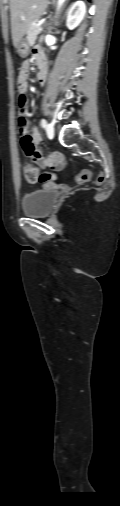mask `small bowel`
<instances>
[{
    "label": "small bowel",
    "instance_id": "small-bowel-1",
    "mask_svg": "<svg viewBox=\"0 0 120 506\" xmlns=\"http://www.w3.org/2000/svg\"><path fill=\"white\" fill-rule=\"evenodd\" d=\"M39 54L42 57H44L43 50L40 47H35L34 50H33V59L35 61H36V57ZM44 67H45L44 77L43 78H39V75H38V78H39V81H40L41 84H44L45 83V79H46L45 61H44ZM29 74H30V61H25L21 65L20 72H19V75H18V81H21L23 83L24 89H26V87H27L26 80H27ZM26 132H27V134H29L32 137L33 142H34L35 146L37 147L39 145V143H40V134H39V131L37 130V128H32L31 132H29L28 128L26 127ZM39 152H40V156L36 158V161L38 162V164L41 167H43V168L49 167V168H56V169L62 168V166L64 164V157H63L62 154H60V153H54V154H51V155H47L44 152H42L41 150H39Z\"/></svg>",
    "mask_w": 120,
    "mask_h": 506
}]
</instances>
